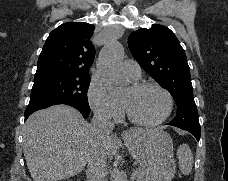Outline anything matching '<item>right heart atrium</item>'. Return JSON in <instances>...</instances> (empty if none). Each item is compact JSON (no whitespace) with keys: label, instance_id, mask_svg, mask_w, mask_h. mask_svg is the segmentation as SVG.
Returning <instances> with one entry per match:
<instances>
[{"label":"right heart atrium","instance_id":"right-heart-atrium-1","mask_svg":"<svg viewBox=\"0 0 228 181\" xmlns=\"http://www.w3.org/2000/svg\"><path fill=\"white\" fill-rule=\"evenodd\" d=\"M88 99L91 109L106 119L119 121L123 115L121 103L108 93L104 84L92 81L88 90Z\"/></svg>","mask_w":228,"mask_h":181}]
</instances>
